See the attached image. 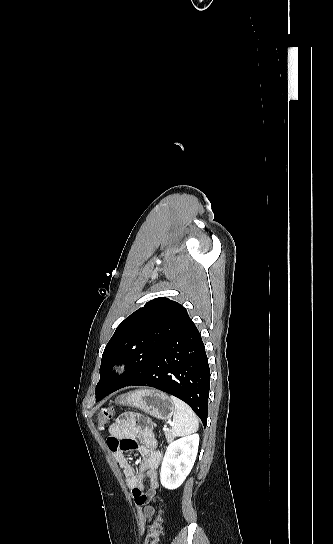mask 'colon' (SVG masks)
<instances>
[{"mask_svg": "<svg viewBox=\"0 0 333 544\" xmlns=\"http://www.w3.org/2000/svg\"><path fill=\"white\" fill-rule=\"evenodd\" d=\"M113 414H114V410L111 407L102 408L97 414L98 425L101 428H103L110 421ZM156 501L157 500L154 499L152 502H156ZM161 522H162L161 509L159 507L158 514L150 526V531L146 537L144 544H156L158 542L159 535L162 531Z\"/></svg>", "mask_w": 333, "mask_h": 544, "instance_id": "5ec220e1", "label": "colon"}]
</instances>
